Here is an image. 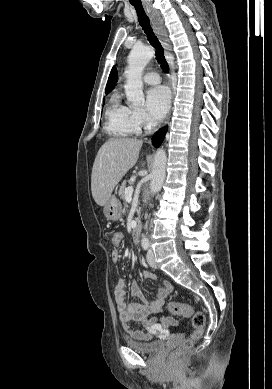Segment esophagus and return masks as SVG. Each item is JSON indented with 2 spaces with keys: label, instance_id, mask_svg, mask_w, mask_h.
<instances>
[{
  "label": "esophagus",
  "instance_id": "34e87169",
  "mask_svg": "<svg viewBox=\"0 0 272 389\" xmlns=\"http://www.w3.org/2000/svg\"><path fill=\"white\" fill-rule=\"evenodd\" d=\"M148 14L151 18L154 31H155L159 41L161 42V44L165 50V53L168 54L170 51V46L168 45L167 32H166V29L163 25V20H162L161 16L156 10L150 9V8L148 9ZM171 72H172V67H171ZM168 119H169V117H168Z\"/></svg>",
  "mask_w": 272,
  "mask_h": 389
}]
</instances>
